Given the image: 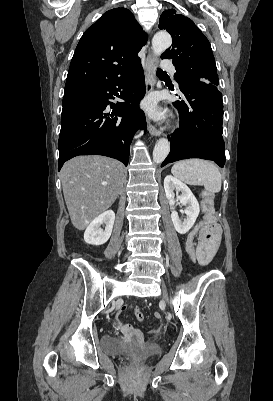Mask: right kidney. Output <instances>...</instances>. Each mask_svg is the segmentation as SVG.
Listing matches in <instances>:
<instances>
[{
	"instance_id": "obj_1",
	"label": "right kidney",
	"mask_w": 273,
	"mask_h": 401,
	"mask_svg": "<svg viewBox=\"0 0 273 401\" xmlns=\"http://www.w3.org/2000/svg\"><path fill=\"white\" fill-rule=\"evenodd\" d=\"M114 221L115 213L113 211H105V213L96 217L94 221H91L84 233L85 243H88V245H104L111 237ZM103 223L106 225L104 231L101 229Z\"/></svg>"
}]
</instances>
